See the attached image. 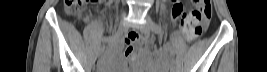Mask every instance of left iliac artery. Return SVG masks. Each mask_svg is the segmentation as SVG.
<instances>
[{"label": "left iliac artery", "mask_w": 267, "mask_h": 72, "mask_svg": "<svg viewBox=\"0 0 267 72\" xmlns=\"http://www.w3.org/2000/svg\"><path fill=\"white\" fill-rule=\"evenodd\" d=\"M152 30L157 34L162 35V29H161V26L159 24L153 23L152 24ZM168 62H169L171 67H174L175 62L171 57L168 58Z\"/></svg>", "instance_id": "44dca946"}]
</instances>
